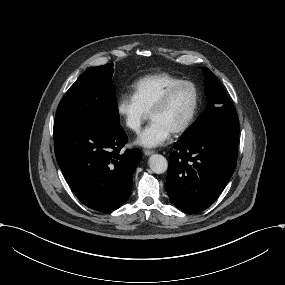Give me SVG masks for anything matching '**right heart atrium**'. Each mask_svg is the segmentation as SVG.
<instances>
[{
	"label": "right heart atrium",
	"instance_id": "d8ad5b80",
	"mask_svg": "<svg viewBox=\"0 0 285 285\" xmlns=\"http://www.w3.org/2000/svg\"><path fill=\"white\" fill-rule=\"evenodd\" d=\"M118 113L125 124L134 131H138L149 116V112L140 103L133 90L121 95L118 101Z\"/></svg>",
	"mask_w": 285,
	"mask_h": 285
}]
</instances>
